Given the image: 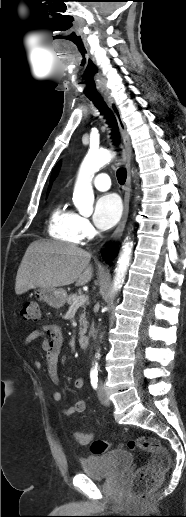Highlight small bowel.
I'll return each mask as SVG.
<instances>
[{
    "mask_svg": "<svg viewBox=\"0 0 186 517\" xmlns=\"http://www.w3.org/2000/svg\"><path fill=\"white\" fill-rule=\"evenodd\" d=\"M42 338L43 339V350L46 353V364H47V372L50 377V379L55 383L59 384L60 380L57 373V363L59 355L62 351L63 347V332L62 329L54 324V323H45L41 325L39 328L31 331L26 339H25V345L28 346L35 340ZM35 365L37 367L41 366V363L36 360ZM74 388L80 389L84 386V379L83 378H77L73 383ZM53 399L56 402L61 401L62 395L60 392H55L53 394ZM86 409V403L84 401H77L74 405L69 406L67 408L63 409L64 415H72L74 413H81L85 411ZM82 436L86 437V441L84 442H78L81 445H87L89 444L90 440L93 438L92 434H82L79 433Z\"/></svg>",
    "mask_w": 186,
    "mask_h": 517,
    "instance_id": "obj_1",
    "label": "small bowel"
}]
</instances>
